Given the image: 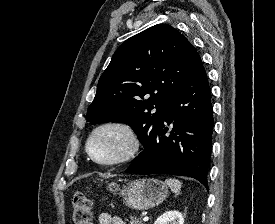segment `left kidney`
<instances>
[{
	"mask_svg": "<svg viewBox=\"0 0 275 224\" xmlns=\"http://www.w3.org/2000/svg\"><path fill=\"white\" fill-rule=\"evenodd\" d=\"M154 224H184V218L179 211H167L158 217Z\"/></svg>",
	"mask_w": 275,
	"mask_h": 224,
	"instance_id": "obj_1",
	"label": "left kidney"
}]
</instances>
